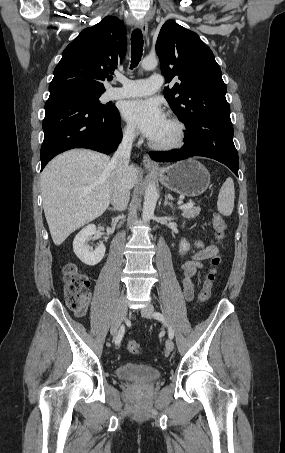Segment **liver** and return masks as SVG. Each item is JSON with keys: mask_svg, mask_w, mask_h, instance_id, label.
<instances>
[{"mask_svg": "<svg viewBox=\"0 0 285 453\" xmlns=\"http://www.w3.org/2000/svg\"><path fill=\"white\" fill-rule=\"evenodd\" d=\"M112 174L108 156L85 149L64 152L47 164L41 173V194L55 245L105 212ZM138 177L139 170L129 166L131 187Z\"/></svg>", "mask_w": 285, "mask_h": 453, "instance_id": "obj_1", "label": "liver"}]
</instances>
